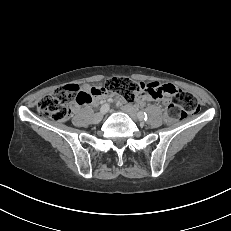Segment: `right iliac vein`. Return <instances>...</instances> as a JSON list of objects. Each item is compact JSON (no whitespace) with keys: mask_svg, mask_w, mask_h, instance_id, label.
I'll return each mask as SVG.
<instances>
[{"mask_svg":"<svg viewBox=\"0 0 231 231\" xmlns=\"http://www.w3.org/2000/svg\"><path fill=\"white\" fill-rule=\"evenodd\" d=\"M105 113H106V112H104V111H100V112L96 113V114L94 115L93 121H94L95 123H99V122L102 120V118H103V116H104Z\"/></svg>","mask_w":231,"mask_h":231,"instance_id":"63e3f726","label":"right iliac vein"}]
</instances>
